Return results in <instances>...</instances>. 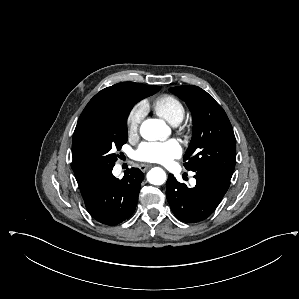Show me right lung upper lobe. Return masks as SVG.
<instances>
[{"mask_svg": "<svg viewBox=\"0 0 299 299\" xmlns=\"http://www.w3.org/2000/svg\"><path fill=\"white\" fill-rule=\"evenodd\" d=\"M150 85L140 83L123 82L107 87L97 93L86 105L77 122L74 135L80 133L95 118L105 112L107 109L119 103H136L142 93Z\"/></svg>", "mask_w": 299, "mask_h": 299, "instance_id": "right-lung-upper-lobe-1", "label": "right lung upper lobe"}]
</instances>
